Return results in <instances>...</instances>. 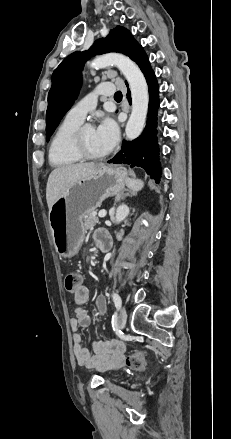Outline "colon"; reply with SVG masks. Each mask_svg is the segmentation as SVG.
<instances>
[{
    "label": "colon",
    "instance_id": "5ec220e1",
    "mask_svg": "<svg viewBox=\"0 0 231 439\" xmlns=\"http://www.w3.org/2000/svg\"><path fill=\"white\" fill-rule=\"evenodd\" d=\"M79 283H85L82 277L81 270H68L65 278V287L71 292V295H75L76 287ZM126 366L134 371H141L145 368V352L136 351L130 354L125 360Z\"/></svg>",
    "mask_w": 231,
    "mask_h": 439
}]
</instances>
